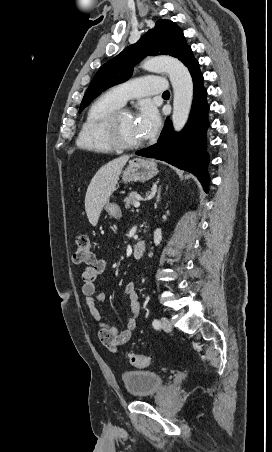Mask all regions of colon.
Returning a JSON list of instances; mask_svg holds the SVG:
<instances>
[{
    "label": "colon",
    "instance_id": "colon-1",
    "mask_svg": "<svg viewBox=\"0 0 272 452\" xmlns=\"http://www.w3.org/2000/svg\"><path fill=\"white\" fill-rule=\"evenodd\" d=\"M73 260L76 264L86 265H91L95 261L92 241L85 233L77 236ZM129 362L136 367L143 368L150 366L152 359L149 356L133 354L129 356Z\"/></svg>",
    "mask_w": 272,
    "mask_h": 452
}]
</instances>
